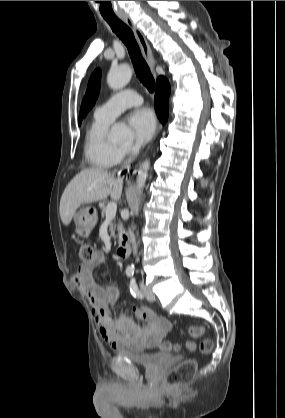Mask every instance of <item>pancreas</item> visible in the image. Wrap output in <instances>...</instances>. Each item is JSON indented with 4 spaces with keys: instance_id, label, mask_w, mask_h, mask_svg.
Segmentation results:
<instances>
[{
    "instance_id": "pancreas-1",
    "label": "pancreas",
    "mask_w": 285,
    "mask_h": 418,
    "mask_svg": "<svg viewBox=\"0 0 285 418\" xmlns=\"http://www.w3.org/2000/svg\"><path fill=\"white\" fill-rule=\"evenodd\" d=\"M102 217L106 216V207H102ZM122 229V223L119 222L118 225L116 226L113 222L110 223V233L112 236H115V231H120Z\"/></svg>"
}]
</instances>
